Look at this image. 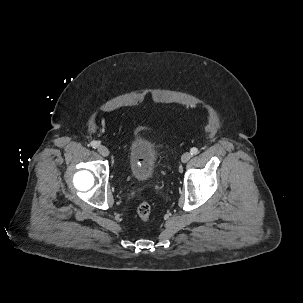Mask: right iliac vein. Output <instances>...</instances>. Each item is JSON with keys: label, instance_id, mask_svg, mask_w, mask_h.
<instances>
[{"label": "right iliac vein", "instance_id": "1", "mask_svg": "<svg viewBox=\"0 0 303 303\" xmlns=\"http://www.w3.org/2000/svg\"><path fill=\"white\" fill-rule=\"evenodd\" d=\"M97 150L104 157H107L109 155L108 148L103 145L98 146Z\"/></svg>", "mask_w": 303, "mask_h": 303}]
</instances>
